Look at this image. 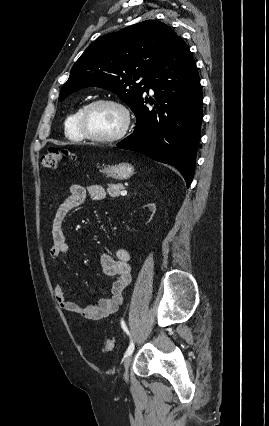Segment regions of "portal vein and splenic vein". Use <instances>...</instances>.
Masks as SVG:
<instances>
[{
  "instance_id": "portal-vein-and-splenic-vein-1",
  "label": "portal vein and splenic vein",
  "mask_w": 269,
  "mask_h": 426,
  "mask_svg": "<svg viewBox=\"0 0 269 426\" xmlns=\"http://www.w3.org/2000/svg\"><path fill=\"white\" fill-rule=\"evenodd\" d=\"M120 194H121L122 196H125V195H127V191L123 190V191H121V192H120Z\"/></svg>"
}]
</instances>
